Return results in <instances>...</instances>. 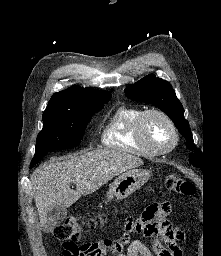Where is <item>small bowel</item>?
I'll use <instances>...</instances> for the list:
<instances>
[{
	"instance_id": "1",
	"label": "small bowel",
	"mask_w": 221,
	"mask_h": 256,
	"mask_svg": "<svg viewBox=\"0 0 221 256\" xmlns=\"http://www.w3.org/2000/svg\"><path fill=\"white\" fill-rule=\"evenodd\" d=\"M170 212L168 202L151 204L139 218L126 219L123 237L86 243L78 246V253H63V256H183L179 246L183 234L167 219ZM136 233L149 243L132 240L131 235Z\"/></svg>"
}]
</instances>
